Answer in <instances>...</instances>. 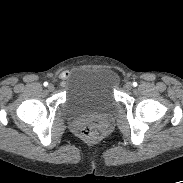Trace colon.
I'll use <instances>...</instances> for the list:
<instances>
[{
	"mask_svg": "<svg viewBox=\"0 0 183 183\" xmlns=\"http://www.w3.org/2000/svg\"><path fill=\"white\" fill-rule=\"evenodd\" d=\"M80 134L86 140H95L98 137L99 131L94 121H87L80 126Z\"/></svg>",
	"mask_w": 183,
	"mask_h": 183,
	"instance_id": "5ec220e1",
	"label": "colon"
}]
</instances>
